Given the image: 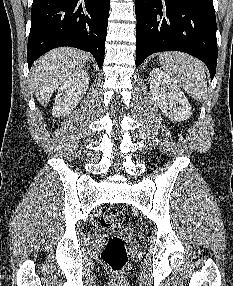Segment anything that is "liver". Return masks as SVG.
I'll list each match as a JSON object with an SVG mask.
<instances>
[{"mask_svg":"<svg viewBox=\"0 0 233 286\" xmlns=\"http://www.w3.org/2000/svg\"><path fill=\"white\" fill-rule=\"evenodd\" d=\"M89 54L70 47L49 51L36 61L31 71V85L37 100L46 106L56 89L72 73L84 68Z\"/></svg>","mask_w":233,"mask_h":286,"instance_id":"1","label":"liver"}]
</instances>
